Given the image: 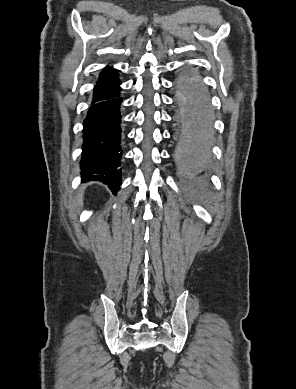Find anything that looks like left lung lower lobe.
Masks as SVG:
<instances>
[{
	"label": "left lung lower lobe",
	"instance_id": "obj_1",
	"mask_svg": "<svg viewBox=\"0 0 296 389\" xmlns=\"http://www.w3.org/2000/svg\"><path fill=\"white\" fill-rule=\"evenodd\" d=\"M187 98V112L195 117L190 124L197 129L193 137L187 138L183 162L191 169H200L208 159L209 144L207 141L209 130V100L200 85H194L185 90Z\"/></svg>",
	"mask_w": 296,
	"mask_h": 389
}]
</instances>
